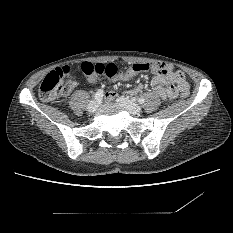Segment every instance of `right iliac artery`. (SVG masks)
Instances as JSON below:
<instances>
[{"label":"right iliac artery","mask_w":233,"mask_h":233,"mask_svg":"<svg viewBox=\"0 0 233 233\" xmlns=\"http://www.w3.org/2000/svg\"><path fill=\"white\" fill-rule=\"evenodd\" d=\"M96 101H100L103 98V90L99 89L94 96Z\"/></svg>","instance_id":"obj_1"}]
</instances>
